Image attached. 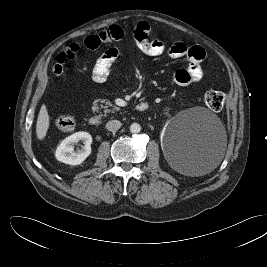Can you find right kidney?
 Returning <instances> with one entry per match:
<instances>
[{
    "mask_svg": "<svg viewBox=\"0 0 267 267\" xmlns=\"http://www.w3.org/2000/svg\"><path fill=\"white\" fill-rule=\"evenodd\" d=\"M83 141L81 150L74 152V144ZM92 136L84 131L76 132L65 138L57 147L55 157L69 165H79L91 154Z\"/></svg>",
    "mask_w": 267,
    "mask_h": 267,
    "instance_id": "1",
    "label": "right kidney"
}]
</instances>
